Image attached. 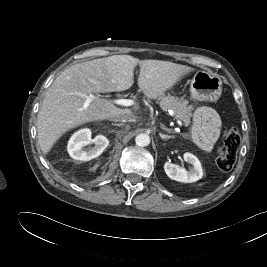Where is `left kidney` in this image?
<instances>
[{"label": "left kidney", "instance_id": "1", "mask_svg": "<svg viewBox=\"0 0 267 267\" xmlns=\"http://www.w3.org/2000/svg\"><path fill=\"white\" fill-rule=\"evenodd\" d=\"M183 157L192 167L186 170L179 165L165 162L164 170L167 176L175 181L183 183H192L201 179L203 177V170L199 159L189 152H186Z\"/></svg>", "mask_w": 267, "mask_h": 267}]
</instances>
